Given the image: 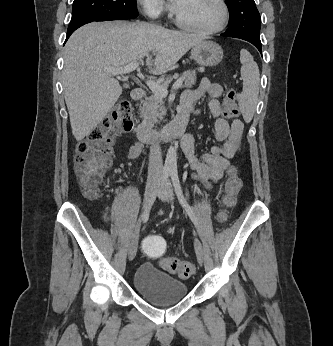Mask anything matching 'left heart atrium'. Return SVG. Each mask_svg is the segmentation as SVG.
Masks as SVG:
<instances>
[{"label": "left heart atrium", "mask_w": 333, "mask_h": 346, "mask_svg": "<svg viewBox=\"0 0 333 346\" xmlns=\"http://www.w3.org/2000/svg\"><path fill=\"white\" fill-rule=\"evenodd\" d=\"M174 10H177L182 2V0H170Z\"/></svg>", "instance_id": "39dd6f15"}]
</instances>
